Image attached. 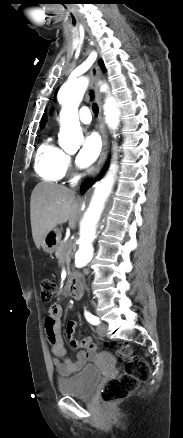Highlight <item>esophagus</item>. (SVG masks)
<instances>
[{"label":"esophagus","mask_w":183,"mask_h":438,"mask_svg":"<svg viewBox=\"0 0 183 438\" xmlns=\"http://www.w3.org/2000/svg\"><path fill=\"white\" fill-rule=\"evenodd\" d=\"M90 75H91V86L94 90L95 93V99L96 102L99 106V115H98V123H99V131L101 134V138H102V150H101V154L97 163V167L94 170V172L91 175V178H95L98 173L100 172V170L103 167V164L106 160V155H107V134L105 132V128H104V121H103V112H102V101H101V93H100V67L98 64H95L90 71Z\"/></svg>","instance_id":"esophagus-1"}]
</instances>
